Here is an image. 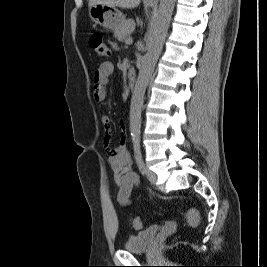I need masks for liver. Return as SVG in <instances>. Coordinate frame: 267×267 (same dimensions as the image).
<instances>
[{
  "mask_svg": "<svg viewBox=\"0 0 267 267\" xmlns=\"http://www.w3.org/2000/svg\"><path fill=\"white\" fill-rule=\"evenodd\" d=\"M141 0H89L88 6L96 4L107 5L110 7H120L123 9H134L139 6Z\"/></svg>",
  "mask_w": 267,
  "mask_h": 267,
  "instance_id": "liver-1",
  "label": "liver"
}]
</instances>
